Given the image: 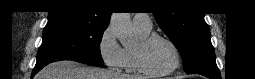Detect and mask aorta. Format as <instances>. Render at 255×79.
Listing matches in <instances>:
<instances>
[{
  "label": "aorta",
  "mask_w": 255,
  "mask_h": 79,
  "mask_svg": "<svg viewBox=\"0 0 255 79\" xmlns=\"http://www.w3.org/2000/svg\"><path fill=\"white\" fill-rule=\"evenodd\" d=\"M109 26L123 46L132 43L134 35L129 13H113Z\"/></svg>",
  "instance_id": "1"
}]
</instances>
